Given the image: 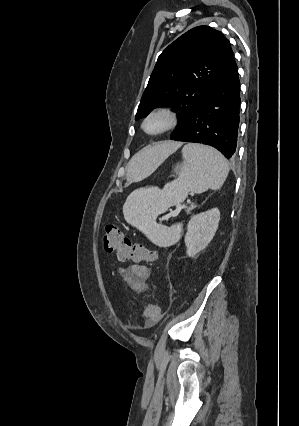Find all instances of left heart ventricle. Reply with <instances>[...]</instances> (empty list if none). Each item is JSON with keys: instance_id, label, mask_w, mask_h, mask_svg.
I'll return each mask as SVG.
<instances>
[{"instance_id": "left-heart-ventricle-1", "label": "left heart ventricle", "mask_w": 299, "mask_h": 426, "mask_svg": "<svg viewBox=\"0 0 299 426\" xmlns=\"http://www.w3.org/2000/svg\"><path fill=\"white\" fill-rule=\"evenodd\" d=\"M164 124H165V119L161 117L153 118L147 123L146 129L149 132H156L160 130L164 126Z\"/></svg>"}]
</instances>
